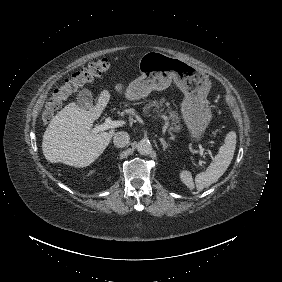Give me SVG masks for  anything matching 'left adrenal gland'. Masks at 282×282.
<instances>
[{"label": "left adrenal gland", "instance_id": "a2214340", "mask_svg": "<svg viewBox=\"0 0 282 282\" xmlns=\"http://www.w3.org/2000/svg\"><path fill=\"white\" fill-rule=\"evenodd\" d=\"M159 140H160V142H161V144H162V146H163V149L165 150V147H166V145H167L169 142L166 141L164 138H160Z\"/></svg>", "mask_w": 282, "mask_h": 282}]
</instances>
